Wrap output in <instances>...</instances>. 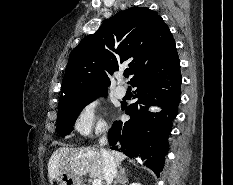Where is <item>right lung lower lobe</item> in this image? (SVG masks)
Returning <instances> with one entry per match:
<instances>
[{
    "label": "right lung lower lobe",
    "mask_w": 233,
    "mask_h": 185,
    "mask_svg": "<svg viewBox=\"0 0 233 185\" xmlns=\"http://www.w3.org/2000/svg\"><path fill=\"white\" fill-rule=\"evenodd\" d=\"M181 81L179 59L140 74L131 83L137 88L134 96L137 102L127 108L122 104L130 120L114 122L109 133L112 149H125L127 156L139 155L146 159L147 167L158 177L168 153L167 138L172 121L178 114ZM151 105H158L162 110L152 113L148 110Z\"/></svg>",
    "instance_id": "obj_1"
}]
</instances>
